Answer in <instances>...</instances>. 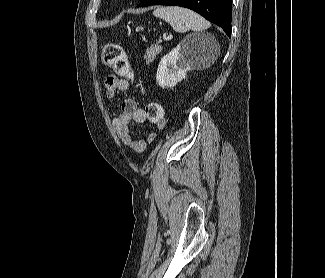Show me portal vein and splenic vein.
Listing matches in <instances>:
<instances>
[{"label":"portal vein and splenic vein","mask_w":325,"mask_h":278,"mask_svg":"<svg viewBox=\"0 0 325 278\" xmlns=\"http://www.w3.org/2000/svg\"><path fill=\"white\" fill-rule=\"evenodd\" d=\"M171 38H172V36H168V37L164 36V37H163L164 40H169V39H171Z\"/></svg>","instance_id":"obj_1"}]
</instances>
